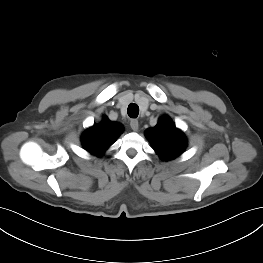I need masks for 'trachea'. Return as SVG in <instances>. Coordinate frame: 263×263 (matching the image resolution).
<instances>
[{
    "label": "trachea",
    "mask_w": 263,
    "mask_h": 263,
    "mask_svg": "<svg viewBox=\"0 0 263 263\" xmlns=\"http://www.w3.org/2000/svg\"><path fill=\"white\" fill-rule=\"evenodd\" d=\"M127 113H128L129 117L136 118L138 116V114H139V107H138V105L134 104V103H131L128 106Z\"/></svg>",
    "instance_id": "obj_1"
}]
</instances>
